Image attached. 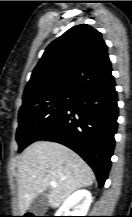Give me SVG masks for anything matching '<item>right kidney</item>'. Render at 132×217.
Masks as SVG:
<instances>
[{"label":"right kidney","instance_id":"obj_1","mask_svg":"<svg viewBox=\"0 0 132 217\" xmlns=\"http://www.w3.org/2000/svg\"><path fill=\"white\" fill-rule=\"evenodd\" d=\"M92 202L88 190L81 189L74 192L55 214L56 216H86ZM73 209V211H70Z\"/></svg>","mask_w":132,"mask_h":217}]
</instances>
